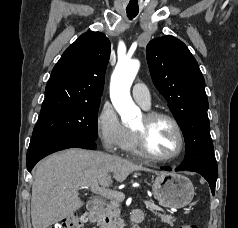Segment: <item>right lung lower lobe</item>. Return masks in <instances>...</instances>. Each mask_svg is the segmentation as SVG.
Masks as SVG:
<instances>
[{
	"label": "right lung lower lobe",
	"mask_w": 238,
	"mask_h": 228,
	"mask_svg": "<svg viewBox=\"0 0 238 228\" xmlns=\"http://www.w3.org/2000/svg\"><path fill=\"white\" fill-rule=\"evenodd\" d=\"M67 148L96 149L93 139L81 136H38L32 137L27 152L26 165L30 172L45 156Z\"/></svg>",
	"instance_id": "right-lung-lower-lobe-1"
}]
</instances>
